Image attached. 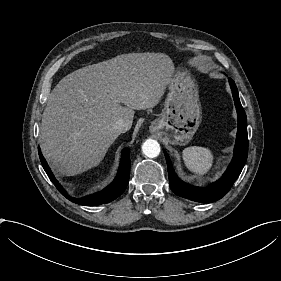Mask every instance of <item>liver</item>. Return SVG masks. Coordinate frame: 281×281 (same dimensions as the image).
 I'll return each instance as SVG.
<instances>
[{
	"mask_svg": "<svg viewBox=\"0 0 281 281\" xmlns=\"http://www.w3.org/2000/svg\"><path fill=\"white\" fill-rule=\"evenodd\" d=\"M173 70L164 52H131L63 77L42 117L40 148L49 166L62 176L96 166L119 135L113 124L132 125L134 109L153 107Z\"/></svg>",
	"mask_w": 281,
	"mask_h": 281,
	"instance_id": "1",
	"label": "liver"
}]
</instances>
